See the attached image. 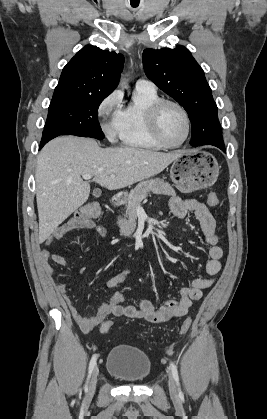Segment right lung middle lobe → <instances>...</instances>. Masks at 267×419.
<instances>
[{"label": "right lung middle lobe", "instance_id": "dd1d6c3e", "mask_svg": "<svg viewBox=\"0 0 267 419\" xmlns=\"http://www.w3.org/2000/svg\"><path fill=\"white\" fill-rule=\"evenodd\" d=\"M108 95H53L43 134L104 139L98 107Z\"/></svg>", "mask_w": 267, "mask_h": 419}]
</instances>
